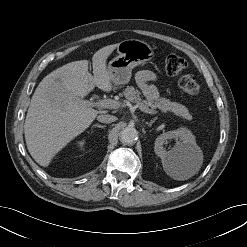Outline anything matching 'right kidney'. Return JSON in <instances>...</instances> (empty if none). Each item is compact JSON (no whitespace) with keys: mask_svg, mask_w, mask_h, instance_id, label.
<instances>
[{"mask_svg":"<svg viewBox=\"0 0 247 247\" xmlns=\"http://www.w3.org/2000/svg\"><path fill=\"white\" fill-rule=\"evenodd\" d=\"M77 146L79 147V148H83L84 147V145L86 144V142H85V140L83 139V140H79V141H77Z\"/></svg>","mask_w":247,"mask_h":247,"instance_id":"1","label":"right kidney"}]
</instances>
